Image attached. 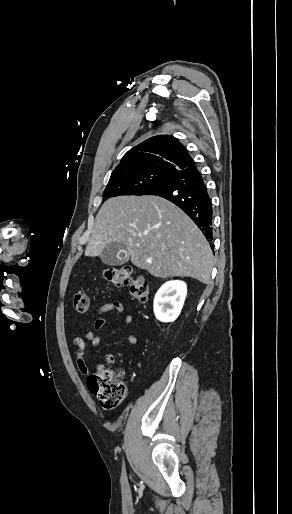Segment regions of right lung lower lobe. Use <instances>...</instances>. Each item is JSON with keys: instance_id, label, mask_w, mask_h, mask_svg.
Returning a JSON list of instances; mask_svg holds the SVG:
<instances>
[{"instance_id": "1", "label": "right lung lower lobe", "mask_w": 292, "mask_h": 514, "mask_svg": "<svg viewBox=\"0 0 292 514\" xmlns=\"http://www.w3.org/2000/svg\"><path fill=\"white\" fill-rule=\"evenodd\" d=\"M143 195H156L173 202L195 222L206 239L212 241V202L196 166L173 173Z\"/></svg>"}]
</instances>
